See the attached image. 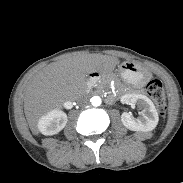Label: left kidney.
<instances>
[{"label":"left kidney","mask_w":183,"mask_h":183,"mask_svg":"<svg viewBox=\"0 0 183 183\" xmlns=\"http://www.w3.org/2000/svg\"><path fill=\"white\" fill-rule=\"evenodd\" d=\"M122 104H137L141 110L138 117H134L131 113L123 112L121 121L123 125L132 131L148 132L156 128L159 116L153 102L145 95L141 94H125L120 99Z\"/></svg>","instance_id":"1"}]
</instances>
